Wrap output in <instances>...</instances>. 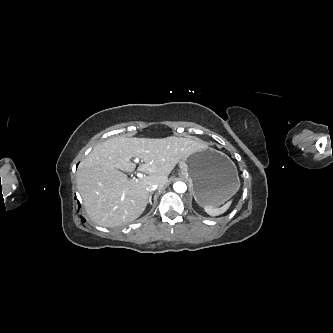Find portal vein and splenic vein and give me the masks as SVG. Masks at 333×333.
I'll list each match as a JSON object with an SVG mask.
<instances>
[{
    "label": "portal vein and splenic vein",
    "instance_id": "portal-vein-and-splenic-vein-1",
    "mask_svg": "<svg viewBox=\"0 0 333 333\" xmlns=\"http://www.w3.org/2000/svg\"><path fill=\"white\" fill-rule=\"evenodd\" d=\"M134 162H135V163H139V162H140V159H139V158H136V159L134 160ZM137 176H138L139 178H142V177H143V175H142L141 173H137Z\"/></svg>",
    "mask_w": 333,
    "mask_h": 333
}]
</instances>
